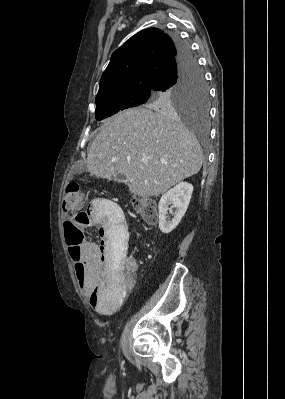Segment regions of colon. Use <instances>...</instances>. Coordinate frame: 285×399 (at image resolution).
<instances>
[{
    "instance_id": "1",
    "label": "colon",
    "mask_w": 285,
    "mask_h": 399,
    "mask_svg": "<svg viewBox=\"0 0 285 399\" xmlns=\"http://www.w3.org/2000/svg\"><path fill=\"white\" fill-rule=\"evenodd\" d=\"M132 207L141 215L144 222L153 223L157 220V206L154 201L149 199L135 200L132 203ZM62 208L69 214V218L64 222L63 230L65 232L66 243L73 255V260L76 262L81 251L80 244L85 238L83 228L90 222L88 214L83 210L81 189L77 182H71L66 187L62 199ZM119 223L123 226L122 234L124 238L117 246V256H124L127 250L125 238L127 230L121 220H119ZM72 271L75 281L80 284L83 275V267L73 266Z\"/></svg>"
}]
</instances>
